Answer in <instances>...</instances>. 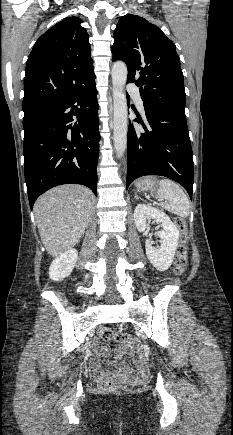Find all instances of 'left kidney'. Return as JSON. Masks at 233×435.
<instances>
[{"instance_id": "obj_1", "label": "left kidney", "mask_w": 233, "mask_h": 435, "mask_svg": "<svg viewBox=\"0 0 233 435\" xmlns=\"http://www.w3.org/2000/svg\"><path fill=\"white\" fill-rule=\"evenodd\" d=\"M155 220L162 224L163 230L157 232L161 238L158 249L146 239V255L151 264L159 271H166L172 264L178 246L179 231L170 218L161 210L146 204H138L134 210V221L138 231L148 233L147 220Z\"/></svg>"}]
</instances>
